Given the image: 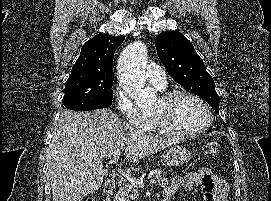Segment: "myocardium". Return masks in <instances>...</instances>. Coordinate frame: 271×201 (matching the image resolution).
I'll list each match as a JSON object with an SVG mask.
<instances>
[{
  "instance_id": "obj_1",
  "label": "myocardium",
  "mask_w": 271,
  "mask_h": 201,
  "mask_svg": "<svg viewBox=\"0 0 271 201\" xmlns=\"http://www.w3.org/2000/svg\"><path fill=\"white\" fill-rule=\"evenodd\" d=\"M179 98H190L202 105L209 116V121L204 127H201L199 129L186 130L176 126L168 117L161 114H155L156 121L168 134L174 136H192L203 133L212 126V124L214 123L213 112L207 102L198 95L184 90H172L165 92L161 96V100L165 103H171Z\"/></svg>"
}]
</instances>
